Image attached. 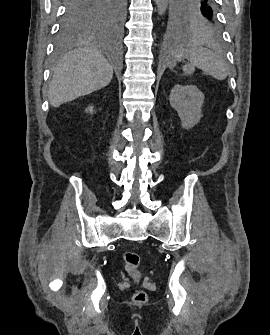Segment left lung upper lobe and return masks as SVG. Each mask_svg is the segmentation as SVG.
I'll use <instances>...</instances> for the list:
<instances>
[{"mask_svg":"<svg viewBox=\"0 0 270 335\" xmlns=\"http://www.w3.org/2000/svg\"><path fill=\"white\" fill-rule=\"evenodd\" d=\"M165 13L173 28L205 35L220 32L214 0H167Z\"/></svg>","mask_w":270,"mask_h":335,"instance_id":"obj_1","label":"left lung upper lobe"}]
</instances>
